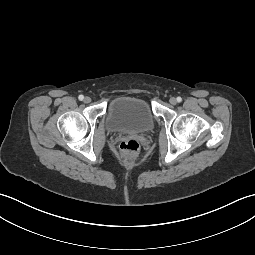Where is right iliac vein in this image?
I'll return each mask as SVG.
<instances>
[{
  "instance_id": "1",
  "label": "right iliac vein",
  "mask_w": 255,
  "mask_h": 255,
  "mask_svg": "<svg viewBox=\"0 0 255 255\" xmlns=\"http://www.w3.org/2000/svg\"><path fill=\"white\" fill-rule=\"evenodd\" d=\"M84 102H85V103H90V102H91V98L88 97V96L85 97V98H84Z\"/></svg>"
}]
</instances>
